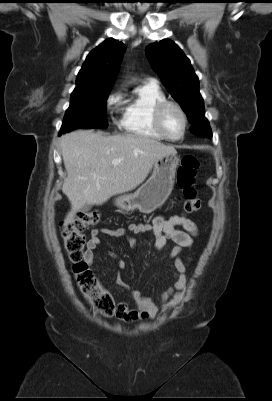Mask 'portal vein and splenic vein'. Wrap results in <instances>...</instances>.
I'll return each mask as SVG.
<instances>
[{
  "label": "portal vein and splenic vein",
  "instance_id": "18ae733b",
  "mask_svg": "<svg viewBox=\"0 0 272 401\" xmlns=\"http://www.w3.org/2000/svg\"><path fill=\"white\" fill-rule=\"evenodd\" d=\"M120 162H121L120 159H115V160L112 161V164H113L114 166H117Z\"/></svg>",
  "mask_w": 272,
  "mask_h": 401
}]
</instances>
